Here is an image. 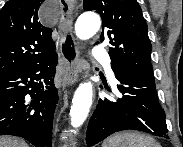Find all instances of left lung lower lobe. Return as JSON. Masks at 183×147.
<instances>
[{
  "label": "left lung lower lobe",
  "instance_id": "1",
  "mask_svg": "<svg viewBox=\"0 0 183 147\" xmlns=\"http://www.w3.org/2000/svg\"><path fill=\"white\" fill-rule=\"evenodd\" d=\"M112 69L123 96L115 101L99 100L87 128V145L93 146L122 130L168 138L165 112L158 102L154 79L124 68Z\"/></svg>",
  "mask_w": 183,
  "mask_h": 147
}]
</instances>
